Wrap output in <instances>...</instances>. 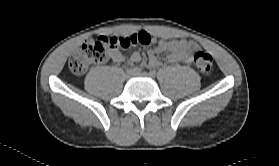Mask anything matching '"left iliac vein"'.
Segmentation results:
<instances>
[{
	"label": "left iliac vein",
	"mask_w": 279,
	"mask_h": 166,
	"mask_svg": "<svg viewBox=\"0 0 279 166\" xmlns=\"http://www.w3.org/2000/svg\"><path fill=\"white\" fill-rule=\"evenodd\" d=\"M137 76H143V77H153L149 73L143 72V73H136Z\"/></svg>",
	"instance_id": "1"
}]
</instances>
